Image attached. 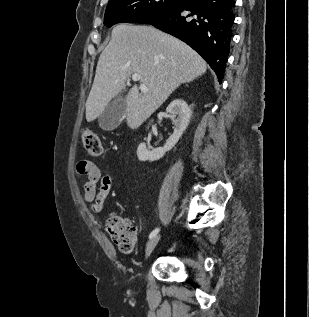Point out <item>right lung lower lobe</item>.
Returning a JSON list of instances; mask_svg holds the SVG:
<instances>
[{"mask_svg": "<svg viewBox=\"0 0 309 317\" xmlns=\"http://www.w3.org/2000/svg\"><path fill=\"white\" fill-rule=\"evenodd\" d=\"M235 0H187L184 4L140 18L187 43L215 71L219 83L230 52Z\"/></svg>", "mask_w": 309, "mask_h": 317, "instance_id": "obj_1", "label": "right lung lower lobe"}]
</instances>
